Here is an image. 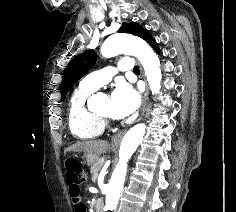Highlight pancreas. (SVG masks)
I'll list each match as a JSON object with an SVG mask.
<instances>
[{"label":"pancreas","instance_id":"1","mask_svg":"<svg viewBox=\"0 0 236 212\" xmlns=\"http://www.w3.org/2000/svg\"><path fill=\"white\" fill-rule=\"evenodd\" d=\"M103 166V162L102 161H97L96 163H94L91 167L90 173L92 174V181L95 182L96 179L98 177V172L100 171V169Z\"/></svg>","mask_w":236,"mask_h":212}]
</instances>
